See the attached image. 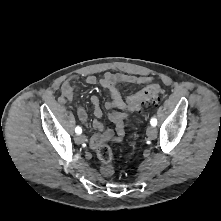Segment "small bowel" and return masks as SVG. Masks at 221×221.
Returning a JSON list of instances; mask_svg holds the SVG:
<instances>
[{
    "label": "small bowel",
    "instance_id": "c3829d8e",
    "mask_svg": "<svg viewBox=\"0 0 221 221\" xmlns=\"http://www.w3.org/2000/svg\"><path fill=\"white\" fill-rule=\"evenodd\" d=\"M75 78L71 77L66 80L61 87V94L59 101L65 103L70 100L75 93ZM89 85H96L99 83L108 93L109 100L105 103L104 107L109 111V119L115 124V132L112 129H104L100 119L103 115L100 107L99 98L95 95L91 96L90 102L93 106L95 120L92 122V127L96 131L90 139V147L98 149L103 143L109 141H120L125 135V119L127 118V103L121 96L117 88L119 83L130 84H144L149 81L145 76L129 75L121 72H106L100 79L94 75H88L85 79ZM78 117L84 124L87 123L88 115L83 107L77 110Z\"/></svg>",
    "mask_w": 221,
    "mask_h": 221
}]
</instances>
